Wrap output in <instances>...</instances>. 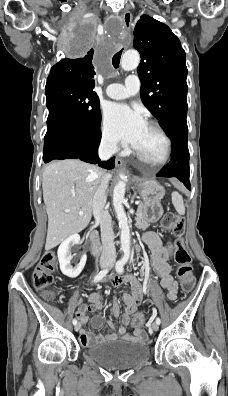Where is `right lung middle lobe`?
I'll return each mask as SVG.
<instances>
[{
  "instance_id": "dd1d6c3e",
  "label": "right lung middle lobe",
  "mask_w": 228,
  "mask_h": 396,
  "mask_svg": "<svg viewBox=\"0 0 228 396\" xmlns=\"http://www.w3.org/2000/svg\"><path fill=\"white\" fill-rule=\"evenodd\" d=\"M93 43L91 32L80 29L72 52L82 55ZM45 90L49 110L47 132L65 130L84 140L100 128L99 98L92 88L60 79L47 80Z\"/></svg>"
}]
</instances>
